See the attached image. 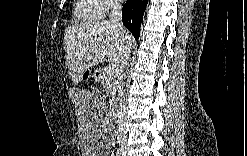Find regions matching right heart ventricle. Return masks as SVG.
Here are the masks:
<instances>
[{
	"label": "right heart ventricle",
	"mask_w": 247,
	"mask_h": 156,
	"mask_svg": "<svg viewBox=\"0 0 247 156\" xmlns=\"http://www.w3.org/2000/svg\"><path fill=\"white\" fill-rule=\"evenodd\" d=\"M74 17L78 21L90 22L102 18L101 5L95 0H79L74 5Z\"/></svg>",
	"instance_id": "1"
}]
</instances>
